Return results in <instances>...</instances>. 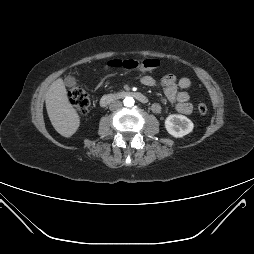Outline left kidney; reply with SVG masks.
Here are the masks:
<instances>
[{"instance_id": "obj_1", "label": "left kidney", "mask_w": 254, "mask_h": 254, "mask_svg": "<svg viewBox=\"0 0 254 254\" xmlns=\"http://www.w3.org/2000/svg\"><path fill=\"white\" fill-rule=\"evenodd\" d=\"M165 128L170 135L176 138H182L192 132L194 124L184 115L172 114L166 118Z\"/></svg>"}]
</instances>
